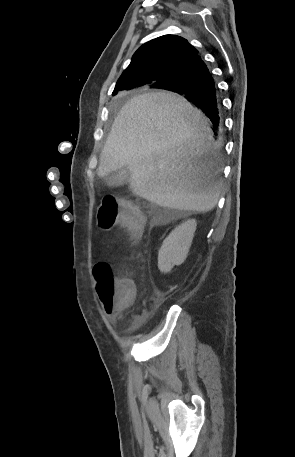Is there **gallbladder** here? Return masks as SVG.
<instances>
[{"instance_id": "bac80fb5", "label": "gallbladder", "mask_w": 295, "mask_h": 457, "mask_svg": "<svg viewBox=\"0 0 295 457\" xmlns=\"http://www.w3.org/2000/svg\"><path fill=\"white\" fill-rule=\"evenodd\" d=\"M130 180V171L127 167H123L118 171H114L107 175L106 182L110 186H121L128 183Z\"/></svg>"}]
</instances>
